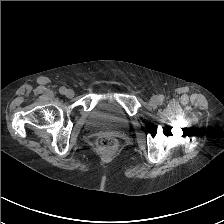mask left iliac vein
Masks as SVG:
<instances>
[{
  "instance_id": "obj_1",
  "label": "left iliac vein",
  "mask_w": 224,
  "mask_h": 224,
  "mask_svg": "<svg viewBox=\"0 0 224 224\" xmlns=\"http://www.w3.org/2000/svg\"><path fill=\"white\" fill-rule=\"evenodd\" d=\"M159 102H160V100H159V97H158V96H153V97L150 99V103H151L152 105H157Z\"/></svg>"
}]
</instances>
